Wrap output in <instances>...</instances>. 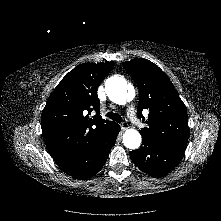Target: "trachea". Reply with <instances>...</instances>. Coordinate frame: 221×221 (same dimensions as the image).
I'll use <instances>...</instances> for the list:
<instances>
[{
  "mask_svg": "<svg viewBox=\"0 0 221 221\" xmlns=\"http://www.w3.org/2000/svg\"><path fill=\"white\" fill-rule=\"evenodd\" d=\"M107 117L113 119L114 121L120 123L122 121V117L118 113L108 112Z\"/></svg>",
  "mask_w": 221,
  "mask_h": 221,
  "instance_id": "obj_1",
  "label": "trachea"
}]
</instances>
